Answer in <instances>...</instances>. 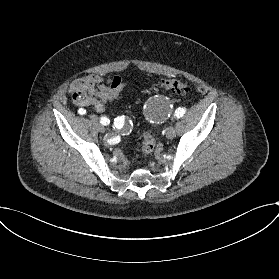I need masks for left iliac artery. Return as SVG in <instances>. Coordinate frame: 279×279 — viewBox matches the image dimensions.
Returning a JSON list of instances; mask_svg holds the SVG:
<instances>
[{"label": "left iliac artery", "mask_w": 279, "mask_h": 279, "mask_svg": "<svg viewBox=\"0 0 279 279\" xmlns=\"http://www.w3.org/2000/svg\"><path fill=\"white\" fill-rule=\"evenodd\" d=\"M185 113V109L183 108H178L176 111H175V116L177 118H180L183 116V114Z\"/></svg>", "instance_id": "obj_1"}]
</instances>
